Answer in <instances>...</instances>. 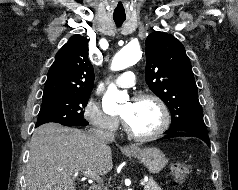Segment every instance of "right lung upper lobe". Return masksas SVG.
<instances>
[{
  "mask_svg": "<svg viewBox=\"0 0 238 190\" xmlns=\"http://www.w3.org/2000/svg\"><path fill=\"white\" fill-rule=\"evenodd\" d=\"M94 70L88 59V39L72 36L57 52L49 69L43 97L89 94L93 89Z\"/></svg>",
  "mask_w": 238,
  "mask_h": 190,
  "instance_id": "1",
  "label": "right lung upper lobe"
}]
</instances>
